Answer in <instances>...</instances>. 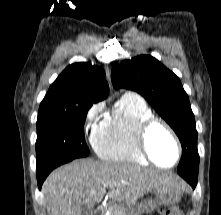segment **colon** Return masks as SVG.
<instances>
[{
    "mask_svg": "<svg viewBox=\"0 0 221 215\" xmlns=\"http://www.w3.org/2000/svg\"><path fill=\"white\" fill-rule=\"evenodd\" d=\"M161 215H182V212L178 207H170L163 210Z\"/></svg>",
    "mask_w": 221,
    "mask_h": 215,
    "instance_id": "colon-1",
    "label": "colon"
}]
</instances>
